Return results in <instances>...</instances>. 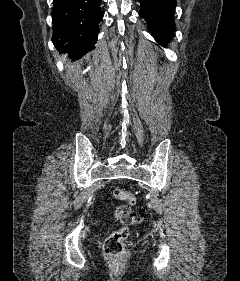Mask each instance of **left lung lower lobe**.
Instances as JSON below:
<instances>
[{"label":"left lung lower lobe","instance_id":"obj_1","mask_svg":"<svg viewBox=\"0 0 240 281\" xmlns=\"http://www.w3.org/2000/svg\"><path fill=\"white\" fill-rule=\"evenodd\" d=\"M141 4L139 15L147 22L157 42L165 46V40L171 39L174 31L173 13L176 0H138Z\"/></svg>","mask_w":240,"mask_h":281}]
</instances>
